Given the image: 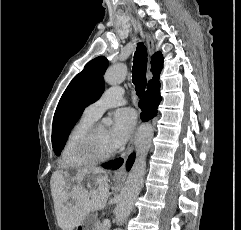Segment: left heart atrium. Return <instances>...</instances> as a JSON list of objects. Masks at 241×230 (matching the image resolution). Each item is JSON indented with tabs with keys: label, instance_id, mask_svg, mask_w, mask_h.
<instances>
[{
	"label": "left heart atrium",
	"instance_id": "1",
	"mask_svg": "<svg viewBox=\"0 0 241 230\" xmlns=\"http://www.w3.org/2000/svg\"><path fill=\"white\" fill-rule=\"evenodd\" d=\"M136 124V115L130 108L117 110L113 115V124L108 130V144L111 149L123 146L130 138Z\"/></svg>",
	"mask_w": 241,
	"mask_h": 230
}]
</instances>
